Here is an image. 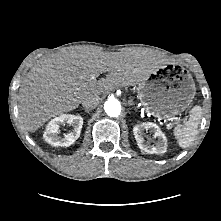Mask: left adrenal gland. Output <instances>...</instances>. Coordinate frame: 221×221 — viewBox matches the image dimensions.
Returning <instances> with one entry per match:
<instances>
[{
	"instance_id": "1",
	"label": "left adrenal gland",
	"mask_w": 221,
	"mask_h": 221,
	"mask_svg": "<svg viewBox=\"0 0 221 221\" xmlns=\"http://www.w3.org/2000/svg\"><path fill=\"white\" fill-rule=\"evenodd\" d=\"M128 104H129L130 106L134 105V103H133L132 100H129ZM135 109H136V107H135Z\"/></svg>"
}]
</instances>
